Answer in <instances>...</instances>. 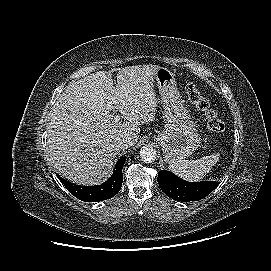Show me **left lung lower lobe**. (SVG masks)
I'll list each match as a JSON object with an SVG mask.
<instances>
[{
	"label": "left lung lower lobe",
	"mask_w": 271,
	"mask_h": 271,
	"mask_svg": "<svg viewBox=\"0 0 271 271\" xmlns=\"http://www.w3.org/2000/svg\"><path fill=\"white\" fill-rule=\"evenodd\" d=\"M157 181L168 197L183 202L200 200L209 195L219 184L215 181L187 182L166 170L158 172Z\"/></svg>",
	"instance_id": "1"
}]
</instances>
